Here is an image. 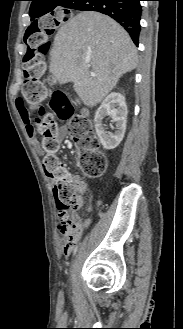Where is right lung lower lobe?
Segmentation results:
<instances>
[{
  "label": "right lung lower lobe",
  "instance_id": "98d812e1",
  "mask_svg": "<svg viewBox=\"0 0 183 329\" xmlns=\"http://www.w3.org/2000/svg\"><path fill=\"white\" fill-rule=\"evenodd\" d=\"M141 0H73L68 8L81 11H97L120 23L138 46L140 33Z\"/></svg>",
  "mask_w": 183,
  "mask_h": 329
}]
</instances>
